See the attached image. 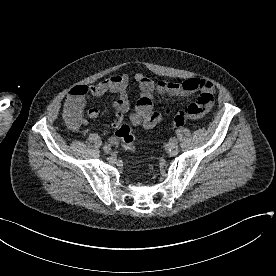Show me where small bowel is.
<instances>
[{
    "instance_id": "small-bowel-1",
    "label": "small bowel",
    "mask_w": 276,
    "mask_h": 276,
    "mask_svg": "<svg viewBox=\"0 0 276 276\" xmlns=\"http://www.w3.org/2000/svg\"><path fill=\"white\" fill-rule=\"evenodd\" d=\"M134 79L140 89V97L137 101V113L142 118L143 122L149 111H153L157 114L156 123H158L162 117L161 113L153 110L154 101L152 94L154 91L172 96H187L194 92H199L196 102L190 104L199 109V112L193 114L191 118L202 117L213 105L215 87L211 81L206 79L194 77L182 82H168L164 80L154 82L142 73L135 74ZM129 81V75L122 73L110 76L101 82L89 86L79 85L72 88L64 104L65 117L69 126L72 129H78L82 124L87 123L86 119L83 118V112L85 110L86 101L90 96L101 97L107 93H111L118 96L114 102L115 113L111 123L114 128H117L122 122L124 114L129 110ZM142 100H145L147 104H141ZM85 113L89 118H96L99 115L98 109L94 107L86 109ZM70 115L76 118V122H71L69 120ZM145 126L147 125L145 124Z\"/></svg>"
}]
</instances>
